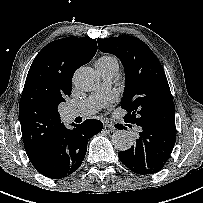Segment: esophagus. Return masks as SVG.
Instances as JSON below:
<instances>
[{
    "label": "esophagus",
    "instance_id": "1",
    "mask_svg": "<svg viewBox=\"0 0 203 203\" xmlns=\"http://www.w3.org/2000/svg\"><path fill=\"white\" fill-rule=\"evenodd\" d=\"M103 126H104V128H109V129H111L113 131L115 130L114 124L112 122L108 121V120L103 121Z\"/></svg>",
    "mask_w": 203,
    "mask_h": 203
}]
</instances>
